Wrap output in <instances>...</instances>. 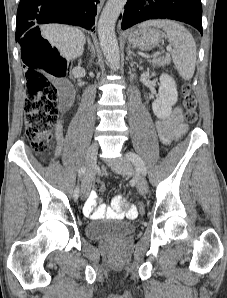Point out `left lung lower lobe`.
Instances as JSON below:
<instances>
[{
    "label": "left lung lower lobe",
    "instance_id": "0a47b994",
    "mask_svg": "<svg viewBox=\"0 0 227 298\" xmlns=\"http://www.w3.org/2000/svg\"><path fill=\"white\" fill-rule=\"evenodd\" d=\"M122 29L149 19H172L195 27L202 35L200 0H128Z\"/></svg>",
    "mask_w": 227,
    "mask_h": 298
}]
</instances>
